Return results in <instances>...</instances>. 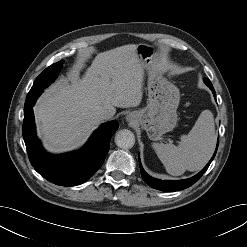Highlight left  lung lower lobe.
Listing matches in <instances>:
<instances>
[{
	"mask_svg": "<svg viewBox=\"0 0 247 247\" xmlns=\"http://www.w3.org/2000/svg\"><path fill=\"white\" fill-rule=\"evenodd\" d=\"M204 82L212 90L214 97H216V93H215V90H214V88L212 86V83L206 78H204ZM217 146H218V143H217ZM215 154H216V151H215L213 157L211 158V160L208 162V164L197 175H195L192 178L185 179V180H180V181H165V180L155 179V178L149 176L144 171V169H143V167L141 165V162H140V158L138 160H139V166H140V169H141L142 178L149 186H151L154 189L161 190V191L171 192V191H178V190L185 189V188L190 187L191 185H193L195 182H197L199 180V178L204 174V172L209 167L210 163L212 162V160L215 157Z\"/></svg>",
	"mask_w": 247,
	"mask_h": 247,
	"instance_id": "0a47b994",
	"label": "left lung lower lobe"
}]
</instances>
